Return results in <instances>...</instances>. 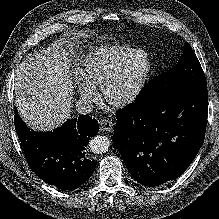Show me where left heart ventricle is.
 Wrapping results in <instances>:
<instances>
[{"label":"left heart ventricle","instance_id":"1","mask_svg":"<svg viewBox=\"0 0 219 219\" xmlns=\"http://www.w3.org/2000/svg\"><path fill=\"white\" fill-rule=\"evenodd\" d=\"M148 65L145 56H139L128 62L115 80L111 94L115 98L129 94L138 84Z\"/></svg>","mask_w":219,"mask_h":219}]
</instances>
